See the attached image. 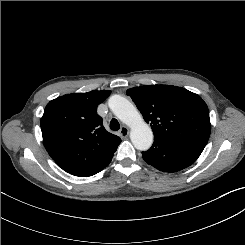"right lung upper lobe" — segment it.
<instances>
[{
  "label": "right lung upper lobe",
  "mask_w": 245,
  "mask_h": 245,
  "mask_svg": "<svg viewBox=\"0 0 245 245\" xmlns=\"http://www.w3.org/2000/svg\"><path fill=\"white\" fill-rule=\"evenodd\" d=\"M111 91L93 90L50 101L41 118L43 143L66 172L89 177L111 161L121 139L105 130L97 106Z\"/></svg>",
  "instance_id": "1"
}]
</instances>
